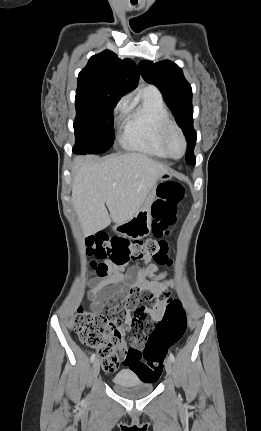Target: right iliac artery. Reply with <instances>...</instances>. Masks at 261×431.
Here are the masks:
<instances>
[{
  "label": "right iliac artery",
  "instance_id": "right-iliac-artery-1",
  "mask_svg": "<svg viewBox=\"0 0 261 431\" xmlns=\"http://www.w3.org/2000/svg\"><path fill=\"white\" fill-rule=\"evenodd\" d=\"M96 359V354H92L90 361L93 362Z\"/></svg>",
  "mask_w": 261,
  "mask_h": 431
}]
</instances>
